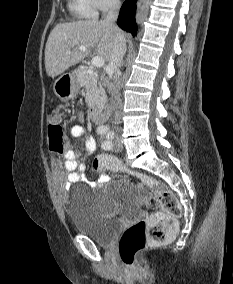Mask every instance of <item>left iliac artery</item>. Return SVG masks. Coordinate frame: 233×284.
Returning <instances> with one entry per match:
<instances>
[{
    "instance_id": "left-iliac-artery-1",
    "label": "left iliac artery",
    "mask_w": 233,
    "mask_h": 284,
    "mask_svg": "<svg viewBox=\"0 0 233 284\" xmlns=\"http://www.w3.org/2000/svg\"><path fill=\"white\" fill-rule=\"evenodd\" d=\"M114 138V132L110 131L106 134V140L102 143V147L105 150H110L112 149V139Z\"/></svg>"
}]
</instances>
